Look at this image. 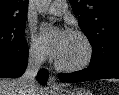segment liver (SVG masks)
I'll return each mask as SVG.
<instances>
[{"instance_id":"1","label":"liver","mask_w":119,"mask_h":95,"mask_svg":"<svg viewBox=\"0 0 119 95\" xmlns=\"http://www.w3.org/2000/svg\"><path fill=\"white\" fill-rule=\"evenodd\" d=\"M19 79L0 78V95H23L21 94ZM35 95H44V90L36 85Z\"/></svg>"}]
</instances>
